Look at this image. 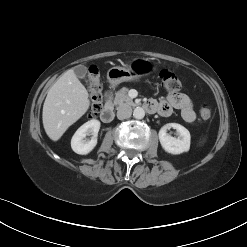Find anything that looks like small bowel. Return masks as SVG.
<instances>
[{
	"instance_id": "small-bowel-1",
	"label": "small bowel",
	"mask_w": 247,
	"mask_h": 247,
	"mask_svg": "<svg viewBox=\"0 0 247 247\" xmlns=\"http://www.w3.org/2000/svg\"><path fill=\"white\" fill-rule=\"evenodd\" d=\"M148 103L152 104L155 107L154 111L163 117L170 116L174 109H178L184 121L192 123L196 119L192 100L184 93L172 92L160 101L150 100Z\"/></svg>"
}]
</instances>
